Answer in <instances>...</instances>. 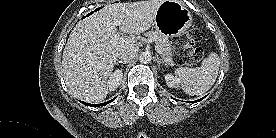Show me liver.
Instances as JSON below:
<instances>
[{"mask_svg":"<svg viewBox=\"0 0 276 138\" xmlns=\"http://www.w3.org/2000/svg\"><path fill=\"white\" fill-rule=\"evenodd\" d=\"M164 0L109 4L80 20L63 51V76L70 92L86 102H100L108 94V80L118 53L135 45V35L150 29ZM120 22V25L116 23ZM120 31L131 34L113 42Z\"/></svg>","mask_w":276,"mask_h":138,"instance_id":"liver-1","label":"liver"}]
</instances>
